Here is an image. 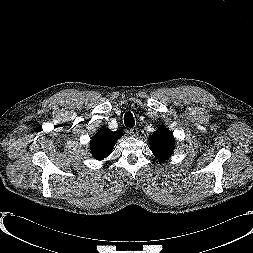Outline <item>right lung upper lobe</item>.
Returning <instances> with one entry per match:
<instances>
[{"instance_id": "obj_1", "label": "right lung upper lobe", "mask_w": 253, "mask_h": 253, "mask_svg": "<svg viewBox=\"0 0 253 253\" xmlns=\"http://www.w3.org/2000/svg\"><path fill=\"white\" fill-rule=\"evenodd\" d=\"M123 135L122 131L101 129L90 142L93 157L98 160L106 158L111 152L116 141Z\"/></svg>"}]
</instances>
